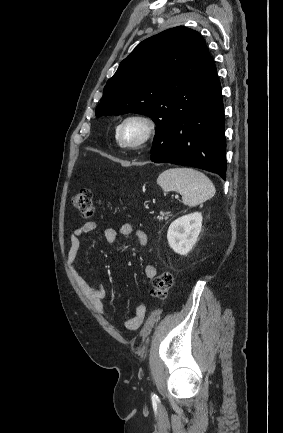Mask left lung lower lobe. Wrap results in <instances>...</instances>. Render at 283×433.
I'll use <instances>...</instances> for the list:
<instances>
[{"label":"left lung lower lobe","mask_w":283,"mask_h":433,"mask_svg":"<svg viewBox=\"0 0 283 433\" xmlns=\"http://www.w3.org/2000/svg\"><path fill=\"white\" fill-rule=\"evenodd\" d=\"M196 99L190 113L156 129L151 161L197 167L225 179L224 107L212 57L198 78Z\"/></svg>","instance_id":"1"}]
</instances>
